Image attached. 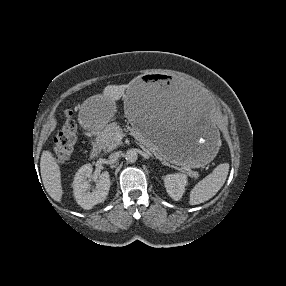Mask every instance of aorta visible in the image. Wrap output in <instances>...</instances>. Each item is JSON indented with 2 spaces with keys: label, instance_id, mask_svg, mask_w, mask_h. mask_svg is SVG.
<instances>
[{
  "label": "aorta",
  "instance_id": "obj_1",
  "mask_svg": "<svg viewBox=\"0 0 286 286\" xmlns=\"http://www.w3.org/2000/svg\"><path fill=\"white\" fill-rule=\"evenodd\" d=\"M125 159L127 162H136L138 159V153L135 149H129L127 150L126 154H125Z\"/></svg>",
  "mask_w": 286,
  "mask_h": 286
}]
</instances>
